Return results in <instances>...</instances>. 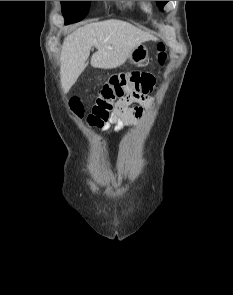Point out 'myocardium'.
I'll list each match as a JSON object with an SVG mask.
<instances>
[{"label": "myocardium", "instance_id": "1", "mask_svg": "<svg viewBox=\"0 0 233 295\" xmlns=\"http://www.w3.org/2000/svg\"><path fill=\"white\" fill-rule=\"evenodd\" d=\"M145 10L151 11V4L149 2L145 3Z\"/></svg>", "mask_w": 233, "mask_h": 295}]
</instances>
